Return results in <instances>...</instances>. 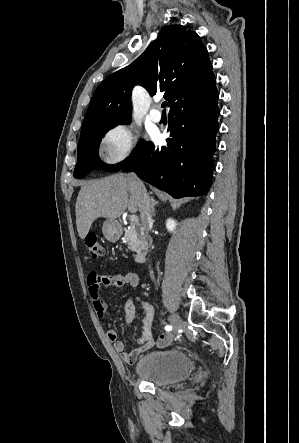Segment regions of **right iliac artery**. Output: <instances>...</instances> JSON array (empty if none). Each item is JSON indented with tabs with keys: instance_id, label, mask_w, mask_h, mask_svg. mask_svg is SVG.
Wrapping results in <instances>:
<instances>
[{
	"instance_id": "82829eb1",
	"label": "right iliac artery",
	"mask_w": 299,
	"mask_h": 443,
	"mask_svg": "<svg viewBox=\"0 0 299 443\" xmlns=\"http://www.w3.org/2000/svg\"><path fill=\"white\" fill-rule=\"evenodd\" d=\"M165 330L166 331H171L172 330V326L171 325H166L165 326Z\"/></svg>"
}]
</instances>
